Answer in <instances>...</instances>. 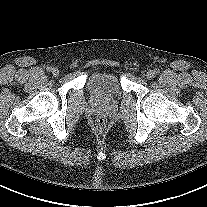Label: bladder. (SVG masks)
I'll return each instance as SVG.
<instances>
[{"instance_id": "1", "label": "bladder", "mask_w": 207, "mask_h": 207, "mask_svg": "<svg viewBox=\"0 0 207 207\" xmlns=\"http://www.w3.org/2000/svg\"><path fill=\"white\" fill-rule=\"evenodd\" d=\"M90 92L98 98H112L121 93L120 79L115 73L99 72L88 81Z\"/></svg>"}]
</instances>
